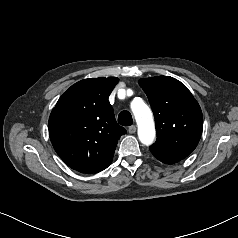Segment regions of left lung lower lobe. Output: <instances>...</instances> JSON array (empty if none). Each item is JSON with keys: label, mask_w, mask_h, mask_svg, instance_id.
Here are the masks:
<instances>
[{"label": "left lung lower lobe", "mask_w": 238, "mask_h": 238, "mask_svg": "<svg viewBox=\"0 0 238 238\" xmlns=\"http://www.w3.org/2000/svg\"><path fill=\"white\" fill-rule=\"evenodd\" d=\"M158 160H160L161 162L165 163V164H174L180 160H182V158L179 157H173V156H169L166 155L164 153L161 152H151Z\"/></svg>", "instance_id": "0a47b994"}]
</instances>
